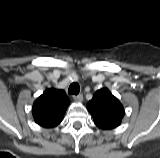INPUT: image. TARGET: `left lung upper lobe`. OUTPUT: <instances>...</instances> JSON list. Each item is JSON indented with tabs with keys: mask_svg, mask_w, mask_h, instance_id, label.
Segmentation results:
<instances>
[{
	"mask_svg": "<svg viewBox=\"0 0 160 158\" xmlns=\"http://www.w3.org/2000/svg\"><path fill=\"white\" fill-rule=\"evenodd\" d=\"M96 126L103 130L114 129L121 124L124 109L120 101L107 88L95 92L87 104Z\"/></svg>",
	"mask_w": 160,
	"mask_h": 158,
	"instance_id": "5c2ea615",
	"label": "left lung upper lobe"
}]
</instances>
